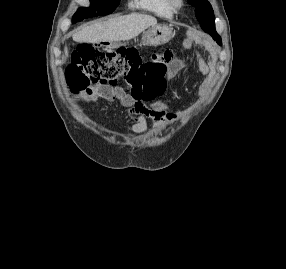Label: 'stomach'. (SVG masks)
Wrapping results in <instances>:
<instances>
[{"instance_id": "obj_1", "label": "stomach", "mask_w": 286, "mask_h": 269, "mask_svg": "<svg viewBox=\"0 0 286 269\" xmlns=\"http://www.w3.org/2000/svg\"><path fill=\"white\" fill-rule=\"evenodd\" d=\"M172 29L167 25H155L143 32L142 43L148 46H158L167 43L172 38Z\"/></svg>"}]
</instances>
